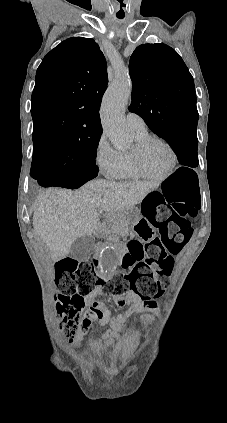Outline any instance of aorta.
I'll use <instances>...</instances> for the list:
<instances>
[{
  "label": "aorta",
  "instance_id": "aorta-1",
  "mask_svg": "<svg viewBox=\"0 0 227 423\" xmlns=\"http://www.w3.org/2000/svg\"><path fill=\"white\" fill-rule=\"evenodd\" d=\"M132 84L128 76H117L107 89L100 108L103 131L113 146L122 149L129 145L124 113L131 94ZM119 266V255L114 248H107L100 257L99 272L110 277Z\"/></svg>",
  "mask_w": 227,
  "mask_h": 423
}]
</instances>
